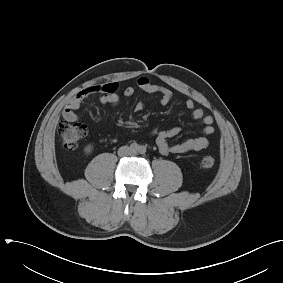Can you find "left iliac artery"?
I'll return each mask as SVG.
<instances>
[{
	"label": "left iliac artery",
	"mask_w": 283,
	"mask_h": 283,
	"mask_svg": "<svg viewBox=\"0 0 283 283\" xmlns=\"http://www.w3.org/2000/svg\"><path fill=\"white\" fill-rule=\"evenodd\" d=\"M138 152H139L140 154H145V153H146V147L140 146Z\"/></svg>",
	"instance_id": "left-iliac-artery-1"
}]
</instances>
